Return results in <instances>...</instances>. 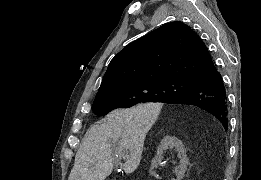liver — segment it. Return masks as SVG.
Masks as SVG:
<instances>
[{"mask_svg": "<svg viewBox=\"0 0 261 180\" xmlns=\"http://www.w3.org/2000/svg\"><path fill=\"white\" fill-rule=\"evenodd\" d=\"M157 110L158 104H139L114 110L103 122L93 124L75 156L69 180H106L120 158L126 174L135 172L145 138L157 120ZM124 148H128L127 154H123Z\"/></svg>", "mask_w": 261, "mask_h": 180, "instance_id": "6515ba94", "label": "liver"}]
</instances>
